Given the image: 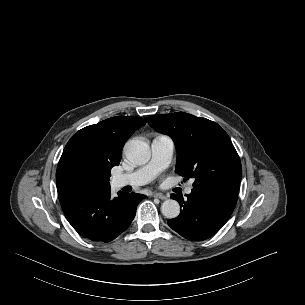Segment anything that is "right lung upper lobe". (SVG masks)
<instances>
[{
  "label": "right lung upper lobe",
  "instance_id": "cb5924a9",
  "mask_svg": "<svg viewBox=\"0 0 305 305\" xmlns=\"http://www.w3.org/2000/svg\"><path fill=\"white\" fill-rule=\"evenodd\" d=\"M146 124V118L117 116L87 126L66 144L56 172V186L60 200L78 195L89 189H107L95 187V184L79 180L73 168L80 158L98 161L110 169L120 163L122 149L126 140L135 130Z\"/></svg>",
  "mask_w": 305,
  "mask_h": 305
}]
</instances>
